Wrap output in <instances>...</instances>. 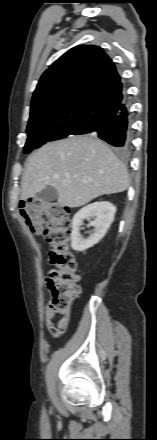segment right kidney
Here are the masks:
<instances>
[{"label":"right kidney","instance_id":"ca27d5eb","mask_svg":"<svg viewBox=\"0 0 157 440\" xmlns=\"http://www.w3.org/2000/svg\"><path fill=\"white\" fill-rule=\"evenodd\" d=\"M116 207L108 202H95L83 207L78 211L72 220L71 246L73 250L85 251L97 244L106 234L108 228L114 221ZM90 225L94 227V233L87 239L80 237V227L84 219L90 220Z\"/></svg>","mask_w":157,"mask_h":440}]
</instances>
